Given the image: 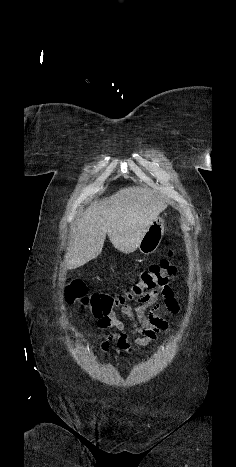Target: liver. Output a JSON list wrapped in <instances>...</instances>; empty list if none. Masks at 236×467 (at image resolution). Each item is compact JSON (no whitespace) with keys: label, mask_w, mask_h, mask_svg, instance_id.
<instances>
[{"label":"liver","mask_w":236,"mask_h":467,"mask_svg":"<svg viewBox=\"0 0 236 467\" xmlns=\"http://www.w3.org/2000/svg\"><path fill=\"white\" fill-rule=\"evenodd\" d=\"M167 204L148 190L128 187L108 198L95 200L72 230L66 269H76L96 258L108 235L120 252H134L147 228Z\"/></svg>","instance_id":"6515ba94"}]
</instances>
